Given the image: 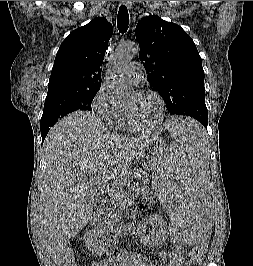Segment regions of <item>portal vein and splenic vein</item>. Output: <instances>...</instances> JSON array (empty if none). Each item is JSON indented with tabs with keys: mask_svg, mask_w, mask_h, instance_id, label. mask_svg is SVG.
<instances>
[{
	"mask_svg": "<svg viewBox=\"0 0 253 266\" xmlns=\"http://www.w3.org/2000/svg\"><path fill=\"white\" fill-rule=\"evenodd\" d=\"M92 181L98 184L102 189H105V191H107L109 194L117 192V189H115V187L111 188L107 180L102 179L101 177H94L92 178Z\"/></svg>",
	"mask_w": 253,
	"mask_h": 266,
	"instance_id": "18ae733b",
	"label": "portal vein and splenic vein"
}]
</instances>
